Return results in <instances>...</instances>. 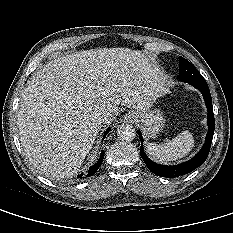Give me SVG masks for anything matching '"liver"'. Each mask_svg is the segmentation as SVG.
<instances>
[{
  "label": "liver",
  "mask_w": 233,
  "mask_h": 233,
  "mask_svg": "<svg viewBox=\"0 0 233 233\" xmlns=\"http://www.w3.org/2000/svg\"><path fill=\"white\" fill-rule=\"evenodd\" d=\"M166 92L160 71L140 51L100 48L58 57L28 81L17 113L20 141L29 161L47 178L76 174L105 115L118 106L148 111Z\"/></svg>",
  "instance_id": "6515ba94"
}]
</instances>
